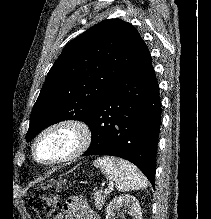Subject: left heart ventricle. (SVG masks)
Instances as JSON below:
<instances>
[{
  "label": "left heart ventricle",
  "mask_w": 211,
  "mask_h": 219,
  "mask_svg": "<svg viewBox=\"0 0 211 219\" xmlns=\"http://www.w3.org/2000/svg\"><path fill=\"white\" fill-rule=\"evenodd\" d=\"M75 136L68 130L53 132L45 136L37 147L41 160H52L65 155L72 148Z\"/></svg>",
  "instance_id": "b2bd125f"
}]
</instances>
